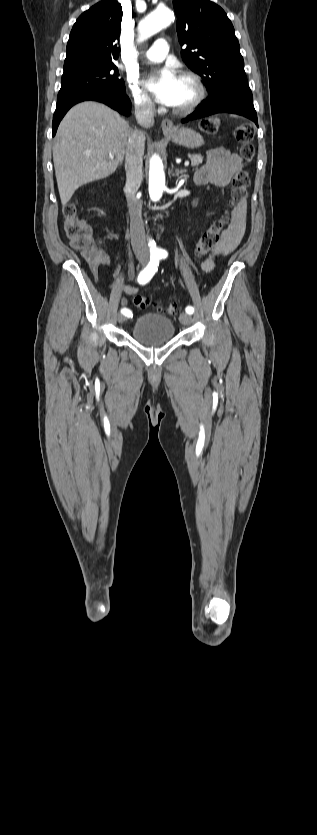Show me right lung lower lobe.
Here are the masks:
<instances>
[{"label": "right lung lower lobe", "instance_id": "obj_1", "mask_svg": "<svg viewBox=\"0 0 317 835\" xmlns=\"http://www.w3.org/2000/svg\"><path fill=\"white\" fill-rule=\"evenodd\" d=\"M87 100L102 102L124 115H129L131 110V101L125 92L109 88L80 92L58 100L52 122L53 136L56 134L58 125L66 112L73 105Z\"/></svg>", "mask_w": 317, "mask_h": 835}]
</instances>
